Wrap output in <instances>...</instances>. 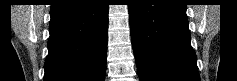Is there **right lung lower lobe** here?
<instances>
[{
	"label": "right lung lower lobe",
	"instance_id": "right-lung-lower-lobe-1",
	"mask_svg": "<svg viewBox=\"0 0 237 81\" xmlns=\"http://www.w3.org/2000/svg\"><path fill=\"white\" fill-rule=\"evenodd\" d=\"M44 81H104L108 5L60 0L51 5Z\"/></svg>",
	"mask_w": 237,
	"mask_h": 81
}]
</instances>
